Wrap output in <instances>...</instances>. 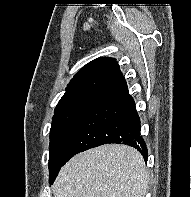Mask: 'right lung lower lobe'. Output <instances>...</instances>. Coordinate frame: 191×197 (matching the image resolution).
Returning <instances> with one entry per match:
<instances>
[{"label":"right lung lower lobe","instance_id":"98d812e1","mask_svg":"<svg viewBox=\"0 0 191 197\" xmlns=\"http://www.w3.org/2000/svg\"><path fill=\"white\" fill-rule=\"evenodd\" d=\"M106 143L136 148L147 160L148 151L140 134V118L126 83L101 99L87 116L64 164L75 154Z\"/></svg>","mask_w":191,"mask_h":197}]
</instances>
